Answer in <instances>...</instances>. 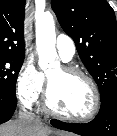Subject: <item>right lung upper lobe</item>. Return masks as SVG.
<instances>
[{"label": "right lung upper lobe", "mask_w": 117, "mask_h": 136, "mask_svg": "<svg viewBox=\"0 0 117 136\" xmlns=\"http://www.w3.org/2000/svg\"><path fill=\"white\" fill-rule=\"evenodd\" d=\"M25 0H0V56L24 57Z\"/></svg>", "instance_id": "cb5924a9"}]
</instances>
